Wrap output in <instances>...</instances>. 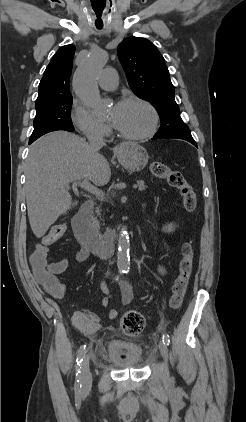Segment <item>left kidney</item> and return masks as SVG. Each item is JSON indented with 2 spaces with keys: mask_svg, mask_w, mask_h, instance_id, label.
Segmentation results:
<instances>
[{
  "mask_svg": "<svg viewBox=\"0 0 246 422\" xmlns=\"http://www.w3.org/2000/svg\"><path fill=\"white\" fill-rule=\"evenodd\" d=\"M163 230L165 232L171 233L175 230V225H173L172 223L167 224V225L163 226Z\"/></svg>",
  "mask_w": 246,
  "mask_h": 422,
  "instance_id": "obj_1",
  "label": "left kidney"
}]
</instances>
